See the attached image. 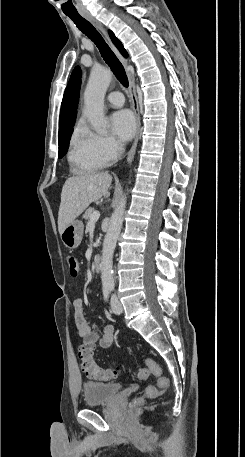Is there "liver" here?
<instances>
[{
  "mask_svg": "<svg viewBox=\"0 0 245 457\" xmlns=\"http://www.w3.org/2000/svg\"><path fill=\"white\" fill-rule=\"evenodd\" d=\"M112 180L108 172H91L84 176H70L63 184L58 212V231L61 235L67 224L77 218L90 202L109 196Z\"/></svg>",
  "mask_w": 245,
  "mask_h": 457,
  "instance_id": "liver-1",
  "label": "liver"
}]
</instances>
